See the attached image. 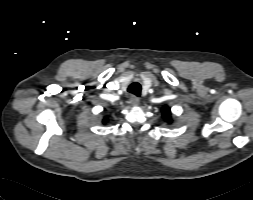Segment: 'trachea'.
<instances>
[{"instance_id":"trachea-1","label":"trachea","mask_w":253,"mask_h":200,"mask_svg":"<svg viewBox=\"0 0 253 200\" xmlns=\"http://www.w3.org/2000/svg\"><path fill=\"white\" fill-rule=\"evenodd\" d=\"M141 89H142L141 85L138 82H134L129 85L127 90H128V92H130L136 96H139L141 93Z\"/></svg>"}]
</instances>
